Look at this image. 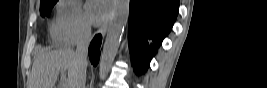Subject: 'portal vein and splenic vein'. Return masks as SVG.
Segmentation results:
<instances>
[{
	"label": "portal vein and splenic vein",
	"instance_id": "1",
	"mask_svg": "<svg viewBox=\"0 0 267 88\" xmlns=\"http://www.w3.org/2000/svg\"><path fill=\"white\" fill-rule=\"evenodd\" d=\"M61 77L63 79V88H68V85H67L66 79H65V71L64 70L61 71Z\"/></svg>",
	"mask_w": 267,
	"mask_h": 88
}]
</instances>
